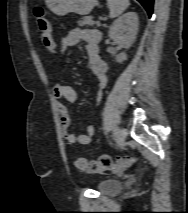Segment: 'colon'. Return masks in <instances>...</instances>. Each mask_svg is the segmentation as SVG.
<instances>
[{
	"label": "colon",
	"instance_id": "colon-1",
	"mask_svg": "<svg viewBox=\"0 0 188 213\" xmlns=\"http://www.w3.org/2000/svg\"><path fill=\"white\" fill-rule=\"evenodd\" d=\"M34 16L36 18L39 35L43 46L50 52H54L56 45L52 37L51 26L42 6L34 7ZM134 158L130 156H101L95 161H87L82 157L75 159V166L81 171L88 173H99L109 170H122L131 167L134 164Z\"/></svg>",
	"mask_w": 188,
	"mask_h": 213
}]
</instances>
